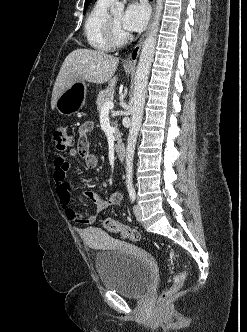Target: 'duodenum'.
Segmentation results:
<instances>
[{"label":"duodenum","instance_id":"410a0bca","mask_svg":"<svg viewBox=\"0 0 247 332\" xmlns=\"http://www.w3.org/2000/svg\"><path fill=\"white\" fill-rule=\"evenodd\" d=\"M116 155L119 160H124L126 157V147L123 143H119L116 146Z\"/></svg>","mask_w":247,"mask_h":332}]
</instances>
